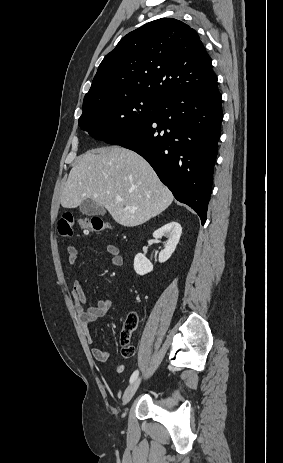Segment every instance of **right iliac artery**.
<instances>
[{"label": "right iliac artery", "mask_w": 283, "mask_h": 463, "mask_svg": "<svg viewBox=\"0 0 283 463\" xmlns=\"http://www.w3.org/2000/svg\"><path fill=\"white\" fill-rule=\"evenodd\" d=\"M138 374H139V371H138V370H136V371L133 372V374H132L131 377H130V383H132L133 381H135V380L137 379Z\"/></svg>", "instance_id": "obj_1"}]
</instances>
